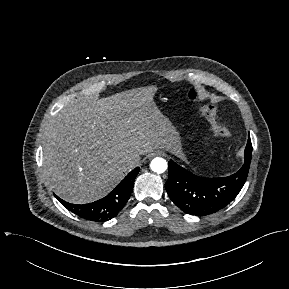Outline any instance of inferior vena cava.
Wrapping results in <instances>:
<instances>
[{"mask_svg": "<svg viewBox=\"0 0 289 289\" xmlns=\"http://www.w3.org/2000/svg\"><path fill=\"white\" fill-rule=\"evenodd\" d=\"M127 162L132 166H134L136 164V160L134 158H131V157L127 158Z\"/></svg>", "mask_w": 289, "mask_h": 289, "instance_id": "1", "label": "inferior vena cava"}]
</instances>
